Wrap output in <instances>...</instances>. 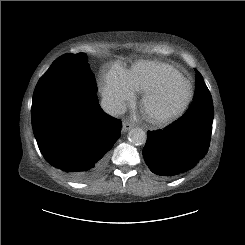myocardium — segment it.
<instances>
[{
	"instance_id": "obj_1",
	"label": "myocardium",
	"mask_w": 245,
	"mask_h": 245,
	"mask_svg": "<svg viewBox=\"0 0 245 245\" xmlns=\"http://www.w3.org/2000/svg\"><path fill=\"white\" fill-rule=\"evenodd\" d=\"M177 78L183 79L188 85V94L183 100L182 104L177 108L166 112H158V111L151 110L149 108L150 104L156 98H158L168 87H170ZM193 98H194V87L191 81L182 73L176 72L173 76H171L163 83L144 91L141 100V110L145 116V119L148 122L154 125H163L172 122L173 120L177 119L182 114H184L186 110L189 108L190 104L192 103Z\"/></svg>"
}]
</instances>
